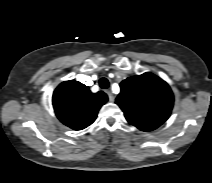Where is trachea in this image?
Wrapping results in <instances>:
<instances>
[{"label": "trachea", "mask_w": 212, "mask_h": 183, "mask_svg": "<svg viewBox=\"0 0 212 183\" xmlns=\"http://www.w3.org/2000/svg\"><path fill=\"white\" fill-rule=\"evenodd\" d=\"M99 85L102 89H107V88H109L110 84H109L108 79L103 77L99 80Z\"/></svg>", "instance_id": "1"}]
</instances>
